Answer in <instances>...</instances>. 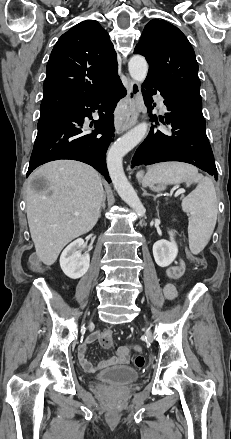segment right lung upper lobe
Returning <instances> with one entry per match:
<instances>
[{"label": "right lung upper lobe", "mask_w": 231, "mask_h": 439, "mask_svg": "<svg viewBox=\"0 0 231 439\" xmlns=\"http://www.w3.org/2000/svg\"><path fill=\"white\" fill-rule=\"evenodd\" d=\"M109 35L94 20L82 21L55 44L46 67L40 119L107 90L119 77Z\"/></svg>", "instance_id": "cb5924a9"}]
</instances>
